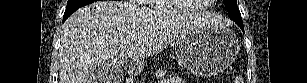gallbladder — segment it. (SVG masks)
I'll use <instances>...</instances> for the list:
<instances>
[{
	"label": "gallbladder",
	"mask_w": 307,
	"mask_h": 83,
	"mask_svg": "<svg viewBox=\"0 0 307 83\" xmlns=\"http://www.w3.org/2000/svg\"><path fill=\"white\" fill-rule=\"evenodd\" d=\"M123 72L116 68L97 66L88 75L89 83H120Z\"/></svg>",
	"instance_id": "1"
}]
</instances>
